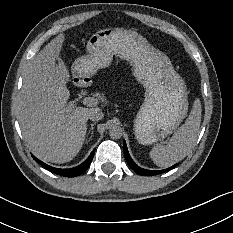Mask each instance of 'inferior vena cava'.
<instances>
[{"label":"inferior vena cava","mask_w":233,"mask_h":233,"mask_svg":"<svg viewBox=\"0 0 233 233\" xmlns=\"http://www.w3.org/2000/svg\"><path fill=\"white\" fill-rule=\"evenodd\" d=\"M104 117V113L100 109H94L88 116L92 121L101 120Z\"/></svg>","instance_id":"obj_1"}]
</instances>
